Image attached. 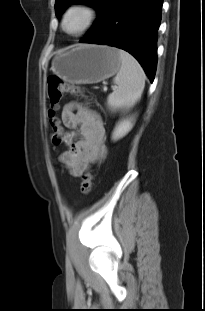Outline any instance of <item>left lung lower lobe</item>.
Returning <instances> with one entry per match:
<instances>
[{
  "label": "left lung lower lobe",
  "instance_id": "0a47b994",
  "mask_svg": "<svg viewBox=\"0 0 205 311\" xmlns=\"http://www.w3.org/2000/svg\"><path fill=\"white\" fill-rule=\"evenodd\" d=\"M162 0H114L108 14L82 43L110 45L132 54L153 82Z\"/></svg>",
  "mask_w": 205,
  "mask_h": 311
}]
</instances>
